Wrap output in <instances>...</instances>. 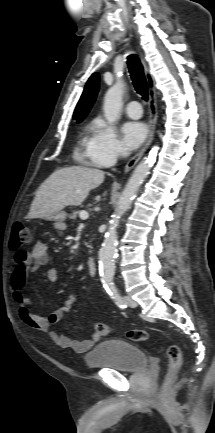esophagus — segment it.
I'll list each match as a JSON object with an SVG mask.
<instances>
[{
    "mask_svg": "<svg viewBox=\"0 0 215 433\" xmlns=\"http://www.w3.org/2000/svg\"><path fill=\"white\" fill-rule=\"evenodd\" d=\"M141 61H142L143 67H144V73H145V77H146L148 87H149V101H150L149 132H148V136H147V139H146L143 147L140 149V151L138 153H136L127 162V164L124 168V173H128L137 164V162L141 159V157L143 156L146 149L151 144L153 137H154L155 127H156L157 118H158L157 95H156L154 77L151 74L150 69H149L146 61L144 60L142 54H141Z\"/></svg>",
    "mask_w": 215,
    "mask_h": 433,
    "instance_id": "34e87169",
    "label": "esophagus"
}]
</instances>
